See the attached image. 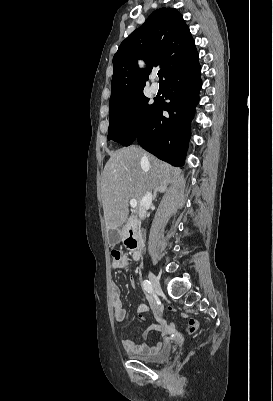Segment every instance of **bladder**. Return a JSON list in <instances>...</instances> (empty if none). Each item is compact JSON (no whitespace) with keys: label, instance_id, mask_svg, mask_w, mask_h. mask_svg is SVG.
<instances>
[{"label":"bladder","instance_id":"1","mask_svg":"<svg viewBox=\"0 0 273 401\" xmlns=\"http://www.w3.org/2000/svg\"><path fill=\"white\" fill-rule=\"evenodd\" d=\"M172 355V345L170 342L164 343L161 351L155 355L154 357H145V356H132V358L136 361L145 363V364H159L166 362L170 359Z\"/></svg>","mask_w":273,"mask_h":401}]
</instances>
